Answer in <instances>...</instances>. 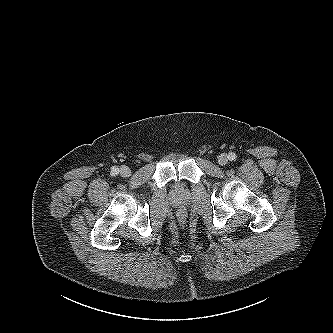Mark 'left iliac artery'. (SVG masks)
<instances>
[{"label":"left iliac artery","instance_id":"44dca946","mask_svg":"<svg viewBox=\"0 0 333 333\" xmlns=\"http://www.w3.org/2000/svg\"><path fill=\"white\" fill-rule=\"evenodd\" d=\"M228 159L231 161L236 160V155L234 153H229Z\"/></svg>","mask_w":333,"mask_h":333}]
</instances>
